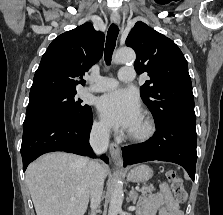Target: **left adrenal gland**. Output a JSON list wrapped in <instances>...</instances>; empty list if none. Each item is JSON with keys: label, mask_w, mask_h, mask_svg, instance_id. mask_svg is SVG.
Instances as JSON below:
<instances>
[{"label": "left adrenal gland", "mask_w": 223, "mask_h": 215, "mask_svg": "<svg viewBox=\"0 0 223 215\" xmlns=\"http://www.w3.org/2000/svg\"><path fill=\"white\" fill-rule=\"evenodd\" d=\"M129 199H131V201H133V203H136V199H138V193H137V191H135L133 185H132L131 191L129 193Z\"/></svg>", "instance_id": "obj_1"}]
</instances>
